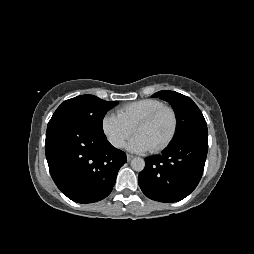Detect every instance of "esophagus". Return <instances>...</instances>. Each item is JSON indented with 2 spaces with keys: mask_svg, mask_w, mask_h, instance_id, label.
<instances>
[{
  "mask_svg": "<svg viewBox=\"0 0 254 254\" xmlns=\"http://www.w3.org/2000/svg\"><path fill=\"white\" fill-rule=\"evenodd\" d=\"M126 157H127L128 162L131 161L134 158V156L130 155V154H127Z\"/></svg>",
  "mask_w": 254,
  "mask_h": 254,
  "instance_id": "obj_1",
  "label": "esophagus"
}]
</instances>
